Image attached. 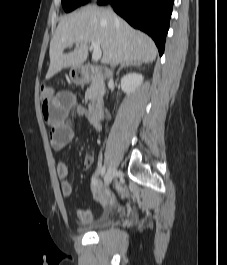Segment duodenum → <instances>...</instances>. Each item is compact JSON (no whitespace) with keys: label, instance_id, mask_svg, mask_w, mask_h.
<instances>
[{"label":"duodenum","instance_id":"410a0bca","mask_svg":"<svg viewBox=\"0 0 227 265\" xmlns=\"http://www.w3.org/2000/svg\"><path fill=\"white\" fill-rule=\"evenodd\" d=\"M97 71L95 68L89 65H84L78 69L75 80L77 83L83 84L89 82L95 75ZM98 84H100V77H98ZM103 109V98L98 91L89 103L88 110L90 114L95 118H100Z\"/></svg>","mask_w":227,"mask_h":265}]
</instances>
